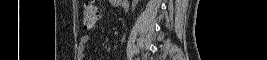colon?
<instances>
[{
    "mask_svg": "<svg viewBox=\"0 0 267 60\" xmlns=\"http://www.w3.org/2000/svg\"><path fill=\"white\" fill-rule=\"evenodd\" d=\"M102 18V7L93 2L83 6V22L86 28H92Z\"/></svg>",
    "mask_w": 267,
    "mask_h": 60,
    "instance_id": "colon-1",
    "label": "colon"
}]
</instances>
